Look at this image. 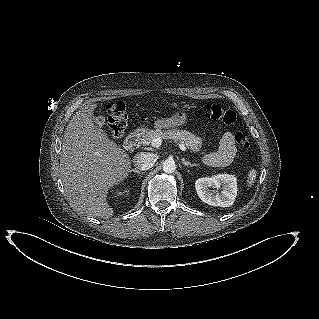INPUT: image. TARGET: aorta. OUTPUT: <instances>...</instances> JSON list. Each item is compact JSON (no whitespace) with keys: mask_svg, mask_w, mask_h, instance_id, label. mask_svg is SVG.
<instances>
[{"mask_svg":"<svg viewBox=\"0 0 319 319\" xmlns=\"http://www.w3.org/2000/svg\"><path fill=\"white\" fill-rule=\"evenodd\" d=\"M176 170V164L174 160L167 159L163 162V171L166 173H173Z\"/></svg>","mask_w":319,"mask_h":319,"instance_id":"obj_1","label":"aorta"}]
</instances>
